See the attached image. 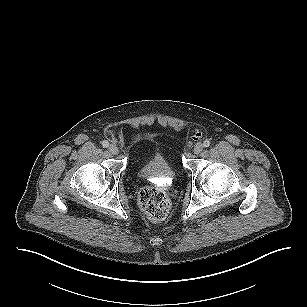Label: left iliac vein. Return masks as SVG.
<instances>
[{
    "mask_svg": "<svg viewBox=\"0 0 307 307\" xmlns=\"http://www.w3.org/2000/svg\"><path fill=\"white\" fill-rule=\"evenodd\" d=\"M203 151V144L202 143H197L195 144L194 148H193V152L194 154H200Z\"/></svg>",
    "mask_w": 307,
    "mask_h": 307,
    "instance_id": "4c4485c4",
    "label": "left iliac vein"
}]
</instances>
